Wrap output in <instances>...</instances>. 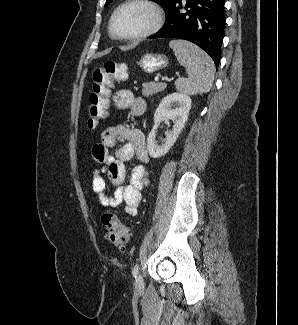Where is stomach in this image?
<instances>
[{
    "label": "stomach",
    "mask_w": 298,
    "mask_h": 325,
    "mask_svg": "<svg viewBox=\"0 0 298 325\" xmlns=\"http://www.w3.org/2000/svg\"><path fill=\"white\" fill-rule=\"evenodd\" d=\"M136 64H139L147 74H152L161 68H166L169 64V58L162 52H143Z\"/></svg>",
    "instance_id": "stomach-1"
}]
</instances>
